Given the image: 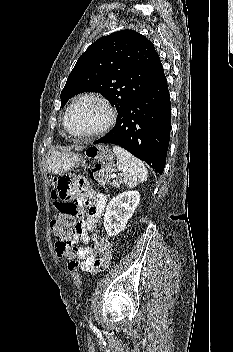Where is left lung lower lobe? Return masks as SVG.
Returning <instances> with one entry per match:
<instances>
[{
  "mask_svg": "<svg viewBox=\"0 0 233 352\" xmlns=\"http://www.w3.org/2000/svg\"><path fill=\"white\" fill-rule=\"evenodd\" d=\"M171 104L163 75L117 116L111 132L94 143H112L148 163L162 174L169 146Z\"/></svg>",
  "mask_w": 233,
  "mask_h": 352,
  "instance_id": "obj_1",
  "label": "left lung lower lobe"
}]
</instances>
